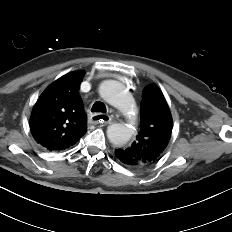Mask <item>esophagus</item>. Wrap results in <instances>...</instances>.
I'll return each mask as SVG.
<instances>
[{
    "label": "esophagus",
    "mask_w": 232,
    "mask_h": 232,
    "mask_svg": "<svg viewBox=\"0 0 232 232\" xmlns=\"http://www.w3.org/2000/svg\"><path fill=\"white\" fill-rule=\"evenodd\" d=\"M91 121L93 124H109L111 122V118L109 115L98 113L94 114L91 117Z\"/></svg>",
    "instance_id": "obj_1"
}]
</instances>
